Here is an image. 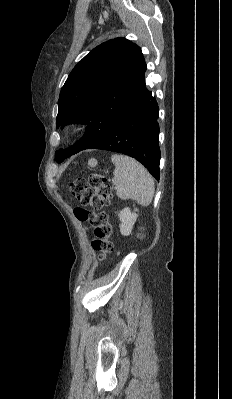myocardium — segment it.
Here are the masks:
<instances>
[{"label":"myocardium","instance_id":"obj_1","mask_svg":"<svg viewBox=\"0 0 232 399\" xmlns=\"http://www.w3.org/2000/svg\"><path fill=\"white\" fill-rule=\"evenodd\" d=\"M81 126L79 123L75 122L67 126L63 131V136L66 139L73 138L80 132Z\"/></svg>","mask_w":232,"mask_h":399}]
</instances>
